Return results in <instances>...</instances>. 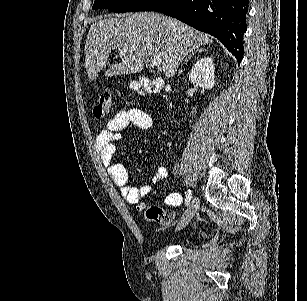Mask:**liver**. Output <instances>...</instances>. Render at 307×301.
I'll return each instance as SVG.
<instances>
[{
  "label": "liver",
  "mask_w": 307,
  "mask_h": 301,
  "mask_svg": "<svg viewBox=\"0 0 307 301\" xmlns=\"http://www.w3.org/2000/svg\"><path fill=\"white\" fill-rule=\"evenodd\" d=\"M208 42H213L210 34L159 12H130L121 18L103 14L92 20L87 34L85 68L90 80H95L106 64L110 68L104 76L135 74L143 70L148 56L160 54L165 76H174L184 56ZM113 48H128V52H121V62L111 66L109 52Z\"/></svg>",
  "instance_id": "obj_1"
}]
</instances>
